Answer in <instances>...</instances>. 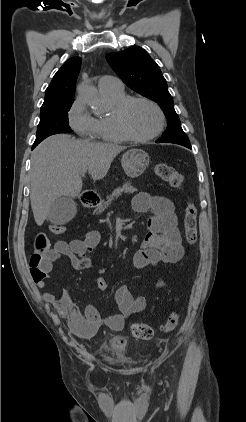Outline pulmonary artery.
Instances as JSON below:
<instances>
[{
  "label": "pulmonary artery",
  "instance_id": "pulmonary-artery-1",
  "mask_svg": "<svg viewBox=\"0 0 246 422\" xmlns=\"http://www.w3.org/2000/svg\"><path fill=\"white\" fill-rule=\"evenodd\" d=\"M98 87L101 92H117L123 90L122 82L113 76H102L98 81Z\"/></svg>",
  "mask_w": 246,
  "mask_h": 422
}]
</instances>
